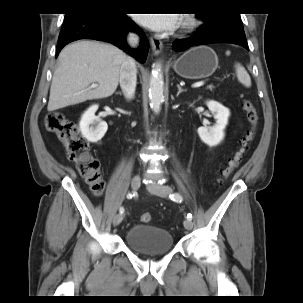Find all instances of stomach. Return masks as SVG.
<instances>
[{"label":"stomach","mask_w":303,"mask_h":303,"mask_svg":"<svg viewBox=\"0 0 303 303\" xmlns=\"http://www.w3.org/2000/svg\"><path fill=\"white\" fill-rule=\"evenodd\" d=\"M218 67V57L208 46L193 47L174 63V71L186 79H203L211 76Z\"/></svg>","instance_id":"stomach-1"}]
</instances>
